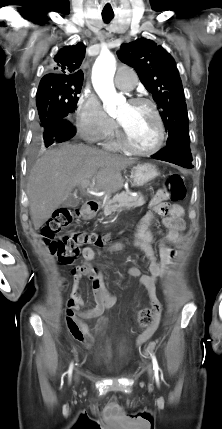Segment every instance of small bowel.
<instances>
[{"label":"small bowel","instance_id":"c3829d8e","mask_svg":"<svg viewBox=\"0 0 222 429\" xmlns=\"http://www.w3.org/2000/svg\"><path fill=\"white\" fill-rule=\"evenodd\" d=\"M152 211L146 213L137 226L133 245L142 250L149 261V275L141 273L136 266L128 267L126 272L139 279V282L144 286L151 297L155 296L156 284L166 272V267L174 255V250L168 247L169 243H180L183 237L185 222L183 219L184 210L178 204L170 205L165 202L161 191H159L151 201ZM155 214L162 217L161 226L166 230L165 234L158 241V254L155 252L152 242L154 234L151 229V224ZM124 244L116 243L110 247L111 252L122 250ZM100 255L99 251H95L91 247H85L82 250L83 262L72 270L74 277L73 292L66 305V324L72 336L87 347L95 341V336L92 335L83 322L84 319L100 318L96 335L100 336L104 333L107 320L101 318L104 312L114 306L116 298L109 292L105 285L103 274L96 269L92 261ZM82 277H87L91 281V287L95 299V307L90 310H84V303L79 291V280ZM157 326L154 325L140 335L137 336L135 342L141 345L152 337Z\"/></svg>","mask_w":222,"mask_h":429}]
</instances>
